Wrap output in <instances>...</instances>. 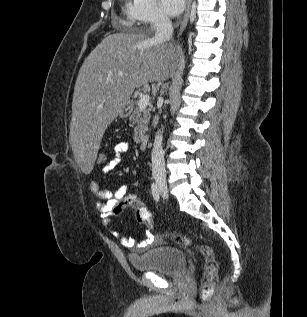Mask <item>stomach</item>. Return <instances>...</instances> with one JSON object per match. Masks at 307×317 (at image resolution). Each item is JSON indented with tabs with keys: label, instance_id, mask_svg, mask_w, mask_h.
I'll use <instances>...</instances> for the list:
<instances>
[{
	"label": "stomach",
	"instance_id": "1",
	"mask_svg": "<svg viewBox=\"0 0 307 317\" xmlns=\"http://www.w3.org/2000/svg\"><path fill=\"white\" fill-rule=\"evenodd\" d=\"M131 111H132V102L130 100H127L120 105L118 110V115L120 118H126L130 115Z\"/></svg>",
	"mask_w": 307,
	"mask_h": 317
}]
</instances>
